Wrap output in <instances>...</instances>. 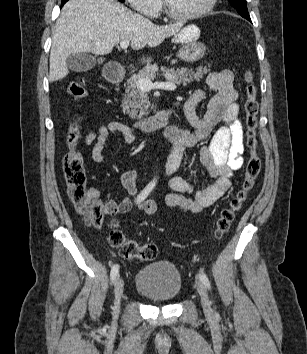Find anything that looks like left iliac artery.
Segmentation results:
<instances>
[{
  "label": "left iliac artery",
  "instance_id": "obj_1",
  "mask_svg": "<svg viewBox=\"0 0 307 354\" xmlns=\"http://www.w3.org/2000/svg\"><path fill=\"white\" fill-rule=\"evenodd\" d=\"M198 276H199L200 281L205 285V287L210 290L211 286H210V281H209L208 277L203 273H200Z\"/></svg>",
  "mask_w": 307,
  "mask_h": 354
}]
</instances>
